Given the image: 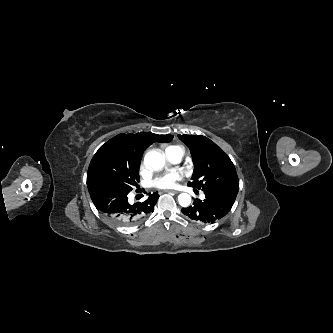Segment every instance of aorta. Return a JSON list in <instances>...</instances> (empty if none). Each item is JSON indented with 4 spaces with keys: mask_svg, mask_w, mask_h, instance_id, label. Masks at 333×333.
<instances>
[{
    "mask_svg": "<svg viewBox=\"0 0 333 333\" xmlns=\"http://www.w3.org/2000/svg\"><path fill=\"white\" fill-rule=\"evenodd\" d=\"M144 163L149 169L158 170L164 166L165 159L159 152L150 151L145 155ZM178 201L182 207H187L191 203V197L187 193H182L178 196Z\"/></svg>",
    "mask_w": 333,
    "mask_h": 333,
    "instance_id": "aorta-1",
    "label": "aorta"
}]
</instances>
